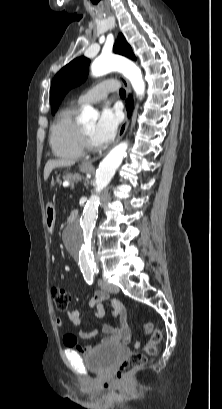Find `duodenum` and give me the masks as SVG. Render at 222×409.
Masks as SVG:
<instances>
[{
	"label": "duodenum",
	"mask_w": 222,
	"mask_h": 409,
	"mask_svg": "<svg viewBox=\"0 0 222 409\" xmlns=\"http://www.w3.org/2000/svg\"><path fill=\"white\" fill-rule=\"evenodd\" d=\"M78 216H79V214H78V211H77V210L71 211V213H70V215H69V221H70V222L76 221L77 218H78Z\"/></svg>",
	"instance_id": "obj_1"
}]
</instances>
